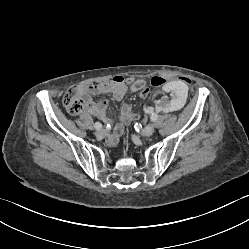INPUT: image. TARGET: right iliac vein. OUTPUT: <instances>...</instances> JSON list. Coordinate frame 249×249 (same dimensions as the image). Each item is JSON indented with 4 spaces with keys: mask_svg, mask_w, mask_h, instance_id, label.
I'll use <instances>...</instances> for the list:
<instances>
[{
    "mask_svg": "<svg viewBox=\"0 0 249 249\" xmlns=\"http://www.w3.org/2000/svg\"><path fill=\"white\" fill-rule=\"evenodd\" d=\"M95 135H96L97 138H103L106 135V130L105 129H98L95 132Z\"/></svg>",
    "mask_w": 249,
    "mask_h": 249,
    "instance_id": "obj_1",
    "label": "right iliac vein"
}]
</instances>
